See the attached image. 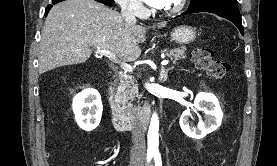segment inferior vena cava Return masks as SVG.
Instances as JSON below:
<instances>
[{
    "label": "inferior vena cava",
    "instance_id": "inferior-vena-cava-1",
    "mask_svg": "<svg viewBox=\"0 0 277 166\" xmlns=\"http://www.w3.org/2000/svg\"><path fill=\"white\" fill-rule=\"evenodd\" d=\"M121 15L126 22L136 23L134 11L132 8L129 7L127 2L122 4ZM132 142L133 146L131 148V157L144 158L146 156L145 137L138 124L132 131Z\"/></svg>",
    "mask_w": 277,
    "mask_h": 166
}]
</instances>
